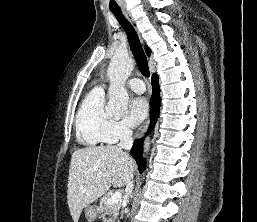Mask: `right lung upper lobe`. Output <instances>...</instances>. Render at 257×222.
I'll return each instance as SVG.
<instances>
[{
	"mask_svg": "<svg viewBox=\"0 0 257 222\" xmlns=\"http://www.w3.org/2000/svg\"><path fill=\"white\" fill-rule=\"evenodd\" d=\"M145 51H146L147 55L150 56L151 50L147 46L145 47Z\"/></svg>",
	"mask_w": 257,
	"mask_h": 222,
	"instance_id": "cb5924a9",
	"label": "right lung upper lobe"
}]
</instances>
